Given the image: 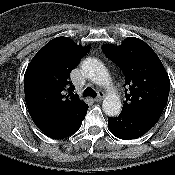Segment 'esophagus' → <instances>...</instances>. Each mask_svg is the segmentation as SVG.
Listing matches in <instances>:
<instances>
[{
    "label": "esophagus",
    "instance_id": "34e87169",
    "mask_svg": "<svg viewBox=\"0 0 175 175\" xmlns=\"http://www.w3.org/2000/svg\"><path fill=\"white\" fill-rule=\"evenodd\" d=\"M104 96H105V94L102 91H99L97 97L94 100L96 102H99L104 98Z\"/></svg>",
    "mask_w": 175,
    "mask_h": 175
}]
</instances>
